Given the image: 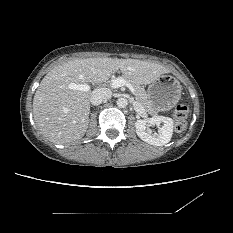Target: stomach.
I'll list each match as a JSON object with an SVG mask.
<instances>
[{"instance_id": "obj_1", "label": "stomach", "mask_w": 233, "mask_h": 233, "mask_svg": "<svg viewBox=\"0 0 233 233\" xmlns=\"http://www.w3.org/2000/svg\"><path fill=\"white\" fill-rule=\"evenodd\" d=\"M182 86L171 75H161L149 84L147 97L151 106L158 111L173 108L181 97Z\"/></svg>"}]
</instances>
